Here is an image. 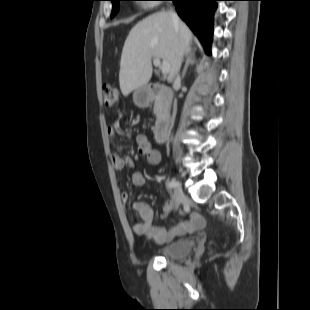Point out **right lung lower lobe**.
Returning a JSON list of instances; mask_svg holds the SVG:
<instances>
[{
  "label": "right lung lower lobe",
  "mask_w": 310,
  "mask_h": 310,
  "mask_svg": "<svg viewBox=\"0 0 310 310\" xmlns=\"http://www.w3.org/2000/svg\"><path fill=\"white\" fill-rule=\"evenodd\" d=\"M173 1L178 15L203 44L207 54L213 34V14L219 0H169Z\"/></svg>",
  "instance_id": "obj_1"
}]
</instances>
